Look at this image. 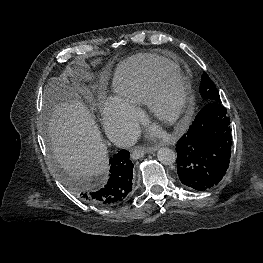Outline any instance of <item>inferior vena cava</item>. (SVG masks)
<instances>
[{
	"mask_svg": "<svg viewBox=\"0 0 263 263\" xmlns=\"http://www.w3.org/2000/svg\"><path fill=\"white\" fill-rule=\"evenodd\" d=\"M110 140L118 147L129 148L133 146L137 138L132 133L127 123H113L107 128Z\"/></svg>",
	"mask_w": 263,
	"mask_h": 263,
	"instance_id": "602c4592",
	"label": "inferior vena cava"
}]
</instances>
